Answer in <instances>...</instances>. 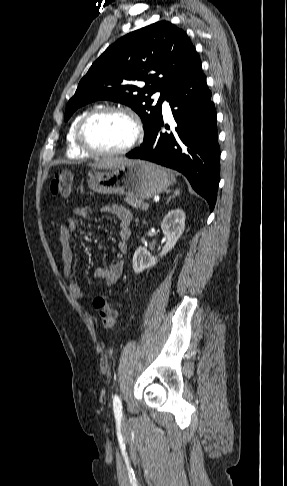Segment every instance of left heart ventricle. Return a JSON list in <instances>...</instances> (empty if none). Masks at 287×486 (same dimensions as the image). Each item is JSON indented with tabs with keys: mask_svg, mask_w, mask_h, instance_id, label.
<instances>
[{
	"mask_svg": "<svg viewBox=\"0 0 287 486\" xmlns=\"http://www.w3.org/2000/svg\"><path fill=\"white\" fill-rule=\"evenodd\" d=\"M133 134L131 122L118 113L97 117L85 129L87 143L100 151H113L124 147L131 141Z\"/></svg>",
	"mask_w": 287,
	"mask_h": 486,
	"instance_id": "1",
	"label": "left heart ventricle"
}]
</instances>
